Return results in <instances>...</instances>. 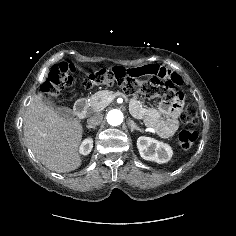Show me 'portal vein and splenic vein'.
Masks as SVG:
<instances>
[{"label": "portal vein and splenic vein", "mask_w": 236, "mask_h": 236, "mask_svg": "<svg viewBox=\"0 0 236 236\" xmlns=\"http://www.w3.org/2000/svg\"><path fill=\"white\" fill-rule=\"evenodd\" d=\"M114 99V97L113 96H109L108 98H106L105 100H104V106H107L109 103H111V101ZM97 110H99V109H97Z\"/></svg>", "instance_id": "18ae733b"}]
</instances>
